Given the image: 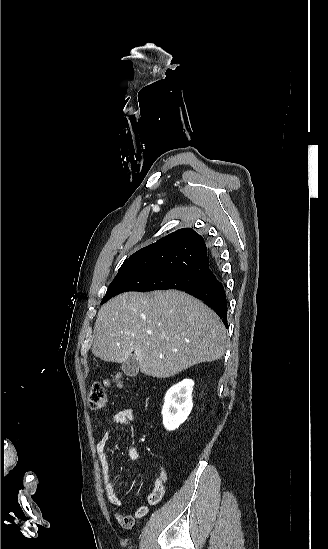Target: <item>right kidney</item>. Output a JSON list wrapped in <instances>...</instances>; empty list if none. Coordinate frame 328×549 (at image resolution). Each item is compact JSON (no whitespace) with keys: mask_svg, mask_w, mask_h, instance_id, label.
Returning <instances> with one entry per match:
<instances>
[{"mask_svg":"<svg viewBox=\"0 0 328 549\" xmlns=\"http://www.w3.org/2000/svg\"><path fill=\"white\" fill-rule=\"evenodd\" d=\"M193 387L192 379H184L181 383L168 389L162 409L163 425L167 431L178 429L179 425L189 417L193 407Z\"/></svg>","mask_w":328,"mask_h":549,"instance_id":"ca27d5eb","label":"right kidney"}]
</instances>
